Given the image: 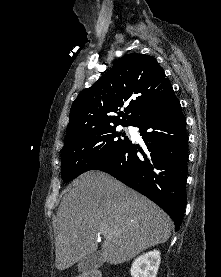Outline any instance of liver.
<instances>
[{
    "mask_svg": "<svg viewBox=\"0 0 221 277\" xmlns=\"http://www.w3.org/2000/svg\"><path fill=\"white\" fill-rule=\"evenodd\" d=\"M57 211L56 268L64 270L96 252L105 238L102 257L110 264L131 260L165 243L170 217L156 204L112 176L89 171L73 183Z\"/></svg>",
    "mask_w": 221,
    "mask_h": 277,
    "instance_id": "6515ba94",
    "label": "liver"
}]
</instances>
